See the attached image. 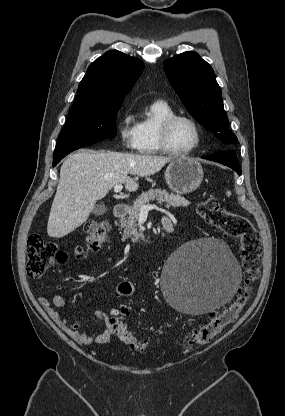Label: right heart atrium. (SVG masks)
Here are the masks:
<instances>
[{
    "instance_id": "1",
    "label": "right heart atrium",
    "mask_w": 285,
    "mask_h": 416,
    "mask_svg": "<svg viewBox=\"0 0 285 416\" xmlns=\"http://www.w3.org/2000/svg\"><path fill=\"white\" fill-rule=\"evenodd\" d=\"M120 140L129 151H138L141 147V138L138 131V122L135 113L125 110L120 119L119 126Z\"/></svg>"
}]
</instances>
